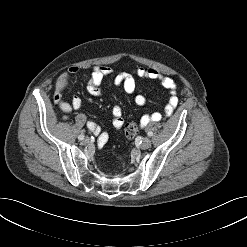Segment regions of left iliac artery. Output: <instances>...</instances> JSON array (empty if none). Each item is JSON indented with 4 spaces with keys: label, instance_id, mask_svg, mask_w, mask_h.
I'll return each instance as SVG.
<instances>
[{
    "label": "left iliac artery",
    "instance_id": "left-iliac-artery-1",
    "mask_svg": "<svg viewBox=\"0 0 247 247\" xmlns=\"http://www.w3.org/2000/svg\"><path fill=\"white\" fill-rule=\"evenodd\" d=\"M147 134H148V136H150V137L153 135V133H152L151 131L148 132Z\"/></svg>",
    "mask_w": 247,
    "mask_h": 247
}]
</instances>
